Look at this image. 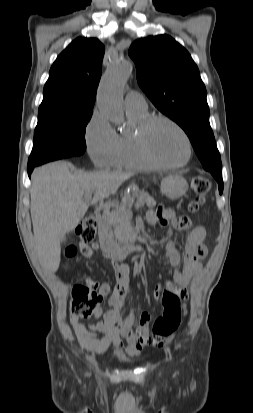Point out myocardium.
I'll list each match as a JSON object with an SVG mask.
<instances>
[{
	"label": "myocardium",
	"instance_id": "obj_1",
	"mask_svg": "<svg viewBox=\"0 0 253 413\" xmlns=\"http://www.w3.org/2000/svg\"><path fill=\"white\" fill-rule=\"evenodd\" d=\"M159 122L168 123L182 135L185 141L186 150H187L186 157L184 158L183 161L176 163V164H168V163L159 161L152 154L149 148V145H148V135L152 127ZM136 143H137L138 149L142 157L150 165H152L153 167L159 168V169H178V168L184 167L185 165L188 164L192 156V143H191L190 137L188 136L187 132L176 121L164 115L149 116L144 121H142L138 125L137 130H136Z\"/></svg>",
	"mask_w": 253,
	"mask_h": 413
}]
</instances>
